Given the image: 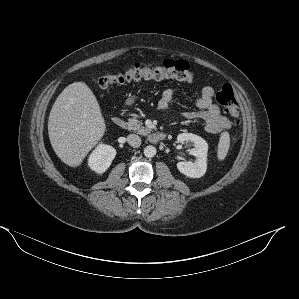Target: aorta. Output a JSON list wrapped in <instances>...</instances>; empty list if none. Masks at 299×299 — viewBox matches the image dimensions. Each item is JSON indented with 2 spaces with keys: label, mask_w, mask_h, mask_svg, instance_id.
I'll list each match as a JSON object with an SVG mask.
<instances>
[{
  "label": "aorta",
  "mask_w": 299,
  "mask_h": 299,
  "mask_svg": "<svg viewBox=\"0 0 299 299\" xmlns=\"http://www.w3.org/2000/svg\"><path fill=\"white\" fill-rule=\"evenodd\" d=\"M157 153V150L154 146L152 145H148L144 148V155L147 157V158H152L156 155Z\"/></svg>",
  "instance_id": "aorta-1"
}]
</instances>
